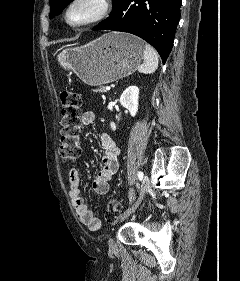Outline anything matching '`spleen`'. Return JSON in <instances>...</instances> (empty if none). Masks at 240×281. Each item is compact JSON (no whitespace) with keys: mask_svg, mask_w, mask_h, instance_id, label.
Segmentation results:
<instances>
[{"mask_svg":"<svg viewBox=\"0 0 240 281\" xmlns=\"http://www.w3.org/2000/svg\"><path fill=\"white\" fill-rule=\"evenodd\" d=\"M159 64L158 54L155 49L149 45H145L144 49V62L138 67V71L144 74H151L156 71Z\"/></svg>","mask_w":240,"mask_h":281,"instance_id":"3e777b00","label":"spleen"}]
</instances>
